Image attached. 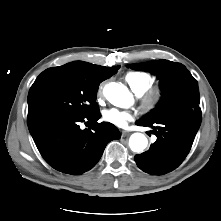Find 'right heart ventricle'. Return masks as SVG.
<instances>
[{"label": "right heart ventricle", "instance_id": "obj_1", "mask_svg": "<svg viewBox=\"0 0 221 221\" xmlns=\"http://www.w3.org/2000/svg\"><path fill=\"white\" fill-rule=\"evenodd\" d=\"M125 81L136 94L142 95L152 86L154 78L149 73L133 71L125 75Z\"/></svg>", "mask_w": 221, "mask_h": 221}]
</instances>
